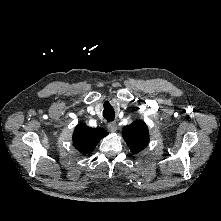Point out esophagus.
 <instances>
[{
  "label": "esophagus",
  "mask_w": 221,
  "mask_h": 221,
  "mask_svg": "<svg viewBox=\"0 0 221 221\" xmlns=\"http://www.w3.org/2000/svg\"><path fill=\"white\" fill-rule=\"evenodd\" d=\"M108 129H109V131H111V132H116V130H117V124H116L115 122H110V123L108 124Z\"/></svg>",
  "instance_id": "obj_1"
}]
</instances>
